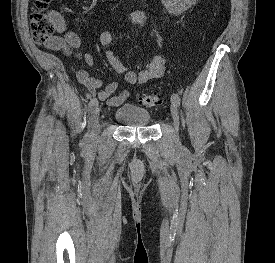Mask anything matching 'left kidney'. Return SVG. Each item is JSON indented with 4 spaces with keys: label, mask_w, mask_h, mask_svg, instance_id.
<instances>
[{
    "label": "left kidney",
    "mask_w": 275,
    "mask_h": 263,
    "mask_svg": "<svg viewBox=\"0 0 275 263\" xmlns=\"http://www.w3.org/2000/svg\"><path fill=\"white\" fill-rule=\"evenodd\" d=\"M167 11L173 15H180L188 10L196 0H162Z\"/></svg>",
    "instance_id": "left-kidney-1"
}]
</instances>
